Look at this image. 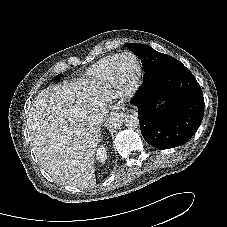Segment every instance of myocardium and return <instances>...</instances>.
I'll return each mask as SVG.
<instances>
[{"mask_svg":"<svg viewBox=\"0 0 227 227\" xmlns=\"http://www.w3.org/2000/svg\"><path fill=\"white\" fill-rule=\"evenodd\" d=\"M125 57H131L136 62L135 72L128 79H125L121 74V63ZM141 75H142V64L139 57L132 52H125L119 56L118 60L114 65L113 72H112V79H114L118 84H121L122 86H124L126 89H134L140 82Z\"/></svg>","mask_w":227,"mask_h":227,"instance_id":"myocardium-1","label":"myocardium"}]
</instances>
